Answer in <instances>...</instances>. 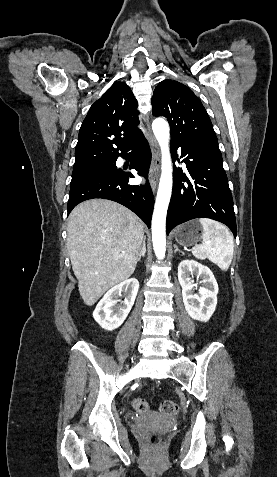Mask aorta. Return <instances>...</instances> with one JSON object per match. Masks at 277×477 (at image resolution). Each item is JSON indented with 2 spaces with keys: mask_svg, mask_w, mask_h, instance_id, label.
Masks as SVG:
<instances>
[{
  "mask_svg": "<svg viewBox=\"0 0 277 477\" xmlns=\"http://www.w3.org/2000/svg\"><path fill=\"white\" fill-rule=\"evenodd\" d=\"M154 135L161 149V177L152 216V241L155 255L163 259L166 252V215L172 193V162L169 150V125L157 118L152 123Z\"/></svg>",
  "mask_w": 277,
  "mask_h": 477,
  "instance_id": "obj_1",
  "label": "aorta"
}]
</instances>
